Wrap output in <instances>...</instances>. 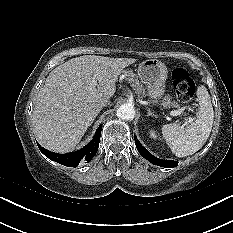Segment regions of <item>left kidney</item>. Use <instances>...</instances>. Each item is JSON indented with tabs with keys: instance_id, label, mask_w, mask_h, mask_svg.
<instances>
[{
	"instance_id": "1",
	"label": "left kidney",
	"mask_w": 233,
	"mask_h": 233,
	"mask_svg": "<svg viewBox=\"0 0 233 233\" xmlns=\"http://www.w3.org/2000/svg\"><path fill=\"white\" fill-rule=\"evenodd\" d=\"M150 136L153 138V139H156L157 138V134L154 130H151L150 131Z\"/></svg>"
}]
</instances>
